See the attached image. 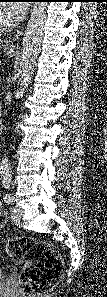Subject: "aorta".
<instances>
[{"label":"aorta","mask_w":107,"mask_h":297,"mask_svg":"<svg viewBox=\"0 0 107 297\" xmlns=\"http://www.w3.org/2000/svg\"><path fill=\"white\" fill-rule=\"evenodd\" d=\"M46 7V2H36L31 10V15L23 36L21 56L18 65V97L23 96L31 81L35 61L42 41ZM6 166V161H3L2 168Z\"/></svg>","instance_id":"aorta-1"}]
</instances>
